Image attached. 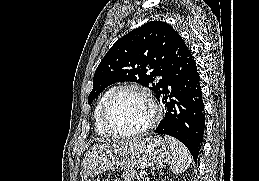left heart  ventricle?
Wrapping results in <instances>:
<instances>
[{"instance_id":"left-heart-ventricle-1","label":"left heart ventricle","mask_w":259,"mask_h":181,"mask_svg":"<svg viewBox=\"0 0 259 181\" xmlns=\"http://www.w3.org/2000/svg\"><path fill=\"white\" fill-rule=\"evenodd\" d=\"M152 118V110L145 97L133 90L121 93L115 100L110 123L118 131L132 132L142 129Z\"/></svg>"}]
</instances>
